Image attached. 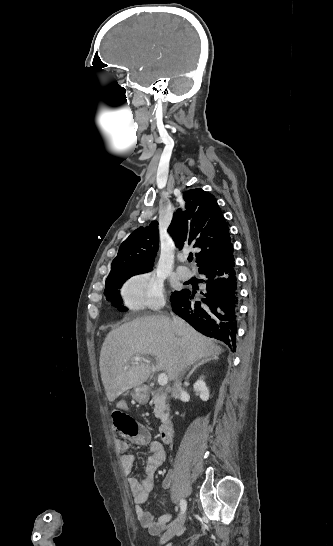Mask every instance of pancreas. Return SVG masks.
Listing matches in <instances>:
<instances>
[{
  "label": "pancreas",
  "instance_id": "1",
  "mask_svg": "<svg viewBox=\"0 0 333 546\" xmlns=\"http://www.w3.org/2000/svg\"><path fill=\"white\" fill-rule=\"evenodd\" d=\"M154 397L152 399V402L155 405L154 408V414L155 417L161 418L163 416V411L166 408V398L165 396L160 392V390L154 391Z\"/></svg>",
  "mask_w": 333,
  "mask_h": 546
}]
</instances>
